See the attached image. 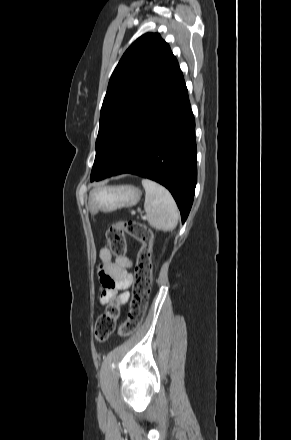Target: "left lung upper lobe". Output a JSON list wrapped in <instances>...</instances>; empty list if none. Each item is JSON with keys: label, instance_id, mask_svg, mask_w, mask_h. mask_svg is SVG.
I'll use <instances>...</instances> for the list:
<instances>
[{"label": "left lung upper lobe", "instance_id": "5c2ea615", "mask_svg": "<svg viewBox=\"0 0 291 440\" xmlns=\"http://www.w3.org/2000/svg\"><path fill=\"white\" fill-rule=\"evenodd\" d=\"M178 68L177 59L158 33L144 34L126 50L102 104L90 179L104 169L128 129Z\"/></svg>", "mask_w": 291, "mask_h": 440}]
</instances>
